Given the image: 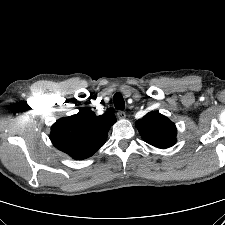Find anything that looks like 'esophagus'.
<instances>
[{"instance_id": "esophagus-1", "label": "esophagus", "mask_w": 225, "mask_h": 225, "mask_svg": "<svg viewBox=\"0 0 225 225\" xmlns=\"http://www.w3.org/2000/svg\"><path fill=\"white\" fill-rule=\"evenodd\" d=\"M117 117H118L119 119H125V118H126V114H125L124 111H118V112H117Z\"/></svg>"}]
</instances>
